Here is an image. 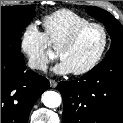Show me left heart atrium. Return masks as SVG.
<instances>
[{
	"mask_svg": "<svg viewBox=\"0 0 123 123\" xmlns=\"http://www.w3.org/2000/svg\"><path fill=\"white\" fill-rule=\"evenodd\" d=\"M53 71L56 74L62 75V74H68L72 72V69L64 60L61 59L60 62L54 66Z\"/></svg>",
	"mask_w": 123,
	"mask_h": 123,
	"instance_id": "obj_1",
	"label": "left heart atrium"
}]
</instances>
